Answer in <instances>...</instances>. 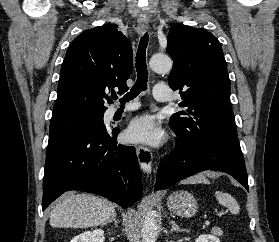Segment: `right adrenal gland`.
<instances>
[{
	"instance_id": "right-adrenal-gland-1",
	"label": "right adrenal gland",
	"mask_w": 279,
	"mask_h": 242,
	"mask_svg": "<svg viewBox=\"0 0 279 242\" xmlns=\"http://www.w3.org/2000/svg\"><path fill=\"white\" fill-rule=\"evenodd\" d=\"M110 222H114L115 223V225L118 227V221L116 220V213H114L113 215H112V217L107 221V222H105L103 225H107L108 223H110Z\"/></svg>"
}]
</instances>
